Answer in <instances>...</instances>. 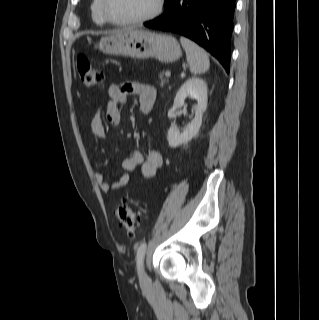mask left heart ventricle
<instances>
[{"mask_svg": "<svg viewBox=\"0 0 319 320\" xmlns=\"http://www.w3.org/2000/svg\"><path fill=\"white\" fill-rule=\"evenodd\" d=\"M157 0H107V9L112 18L126 20L145 16L156 7Z\"/></svg>", "mask_w": 319, "mask_h": 320, "instance_id": "obj_1", "label": "left heart ventricle"}]
</instances>
